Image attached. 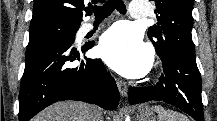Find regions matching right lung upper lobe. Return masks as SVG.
<instances>
[{
	"label": "right lung upper lobe",
	"instance_id": "cb5924a9",
	"mask_svg": "<svg viewBox=\"0 0 217 121\" xmlns=\"http://www.w3.org/2000/svg\"><path fill=\"white\" fill-rule=\"evenodd\" d=\"M103 0H93L92 3ZM91 6V3L88 4ZM85 7L84 0H35L31 22L45 19H56L71 24H79L82 21V10L90 11Z\"/></svg>",
	"mask_w": 217,
	"mask_h": 121
}]
</instances>
